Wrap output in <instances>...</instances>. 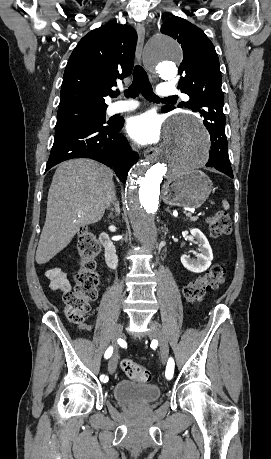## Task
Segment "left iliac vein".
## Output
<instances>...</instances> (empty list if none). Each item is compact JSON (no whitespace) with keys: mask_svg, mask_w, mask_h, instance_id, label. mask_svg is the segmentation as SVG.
Here are the masks:
<instances>
[{"mask_svg":"<svg viewBox=\"0 0 271 459\" xmlns=\"http://www.w3.org/2000/svg\"><path fill=\"white\" fill-rule=\"evenodd\" d=\"M148 334L151 337H155L158 340V342H159V351H160L162 362H164V363L167 362V360L169 358V344H168L167 337L165 335L164 329L161 326V324H159L155 320H151L150 321V330H149Z\"/></svg>","mask_w":271,"mask_h":459,"instance_id":"left-iliac-vein-1","label":"left iliac vein"}]
</instances>
